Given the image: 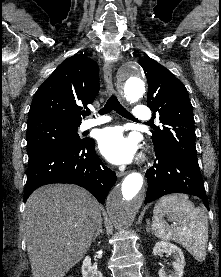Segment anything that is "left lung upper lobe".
I'll use <instances>...</instances> for the list:
<instances>
[{"instance_id":"left-lung-upper-lobe-1","label":"left lung upper lobe","mask_w":221,"mask_h":277,"mask_svg":"<svg viewBox=\"0 0 221 277\" xmlns=\"http://www.w3.org/2000/svg\"><path fill=\"white\" fill-rule=\"evenodd\" d=\"M148 82L147 106L163 129L152 132L155 152H171L198 165L193 107L186 87L168 69L151 58L140 59Z\"/></svg>"}]
</instances>
